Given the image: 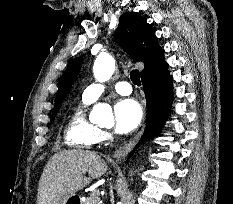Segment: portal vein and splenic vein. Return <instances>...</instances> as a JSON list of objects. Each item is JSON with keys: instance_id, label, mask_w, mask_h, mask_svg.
I'll return each mask as SVG.
<instances>
[{"instance_id": "18ae733b", "label": "portal vein and splenic vein", "mask_w": 233, "mask_h": 204, "mask_svg": "<svg viewBox=\"0 0 233 204\" xmlns=\"http://www.w3.org/2000/svg\"><path fill=\"white\" fill-rule=\"evenodd\" d=\"M91 195L94 197H98L100 195V191L98 189H95L94 191H92Z\"/></svg>"}]
</instances>
